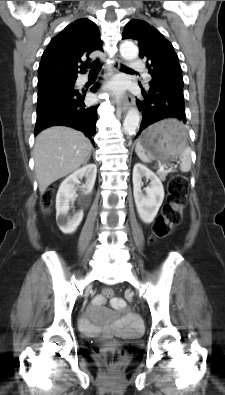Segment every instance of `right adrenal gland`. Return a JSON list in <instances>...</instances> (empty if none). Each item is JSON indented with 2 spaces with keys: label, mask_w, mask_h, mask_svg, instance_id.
I'll list each match as a JSON object with an SVG mask.
<instances>
[{
  "label": "right adrenal gland",
  "mask_w": 225,
  "mask_h": 395,
  "mask_svg": "<svg viewBox=\"0 0 225 395\" xmlns=\"http://www.w3.org/2000/svg\"><path fill=\"white\" fill-rule=\"evenodd\" d=\"M90 157H91V155H89V156H88V158H87L86 162H87V161L90 159Z\"/></svg>",
  "instance_id": "1"
}]
</instances>
